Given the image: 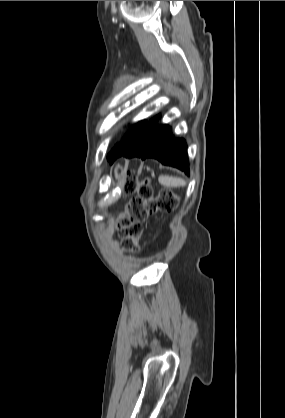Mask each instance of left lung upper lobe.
Here are the masks:
<instances>
[{
    "mask_svg": "<svg viewBox=\"0 0 285 418\" xmlns=\"http://www.w3.org/2000/svg\"><path fill=\"white\" fill-rule=\"evenodd\" d=\"M144 125L145 123L143 121L139 122L135 128H133V130L126 135L122 143L115 146V148L108 155V160L110 163H112V161H114L122 152L127 149V147L130 145V143L133 141V139L140 132Z\"/></svg>",
    "mask_w": 285,
    "mask_h": 418,
    "instance_id": "left-lung-upper-lobe-1",
    "label": "left lung upper lobe"
}]
</instances>
